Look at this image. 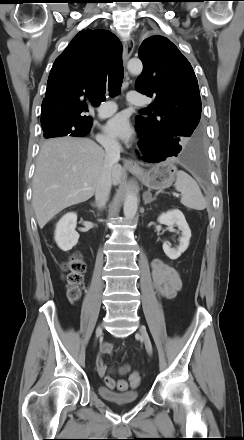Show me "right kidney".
Instances as JSON below:
<instances>
[{"mask_svg": "<svg viewBox=\"0 0 244 440\" xmlns=\"http://www.w3.org/2000/svg\"><path fill=\"white\" fill-rule=\"evenodd\" d=\"M76 226L77 214L74 212L65 214L58 221L54 239L62 251H69L78 243L79 234L75 230Z\"/></svg>", "mask_w": 244, "mask_h": 440, "instance_id": "ca27d5eb", "label": "right kidney"}]
</instances>
